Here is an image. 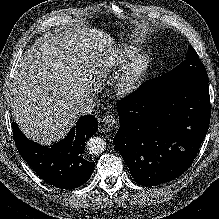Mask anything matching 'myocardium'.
Instances as JSON below:
<instances>
[{
  "mask_svg": "<svg viewBox=\"0 0 219 219\" xmlns=\"http://www.w3.org/2000/svg\"><path fill=\"white\" fill-rule=\"evenodd\" d=\"M151 64L149 56L138 54L125 63L117 72L113 80V91L117 96L132 93L139 85Z\"/></svg>",
  "mask_w": 219,
  "mask_h": 219,
  "instance_id": "myocardium-1",
  "label": "myocardium"
}]
</instances>
